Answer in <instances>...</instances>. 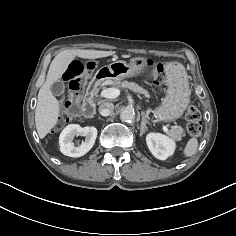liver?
<instances>
[{
  "mask_svg": "<svg viewBox=\"0 0 236 236\" xmlns=\"http://www.w3.org/2000/svg\"><path fill=\"white\" fill-rule=\"evenodd\" d=\"M115 51L67 49L58 53L52 60L45 83L38 93L35 110V124L39 137L43 139L57 124L60 117V105L50 90V86L58 81L75 57L97 59L115 54Z\"/></svg>",
  "mask_w": 236,
  "mask_h": 236,
  "instance_id": "1",
  "label": "liver"
}]
</instances>
